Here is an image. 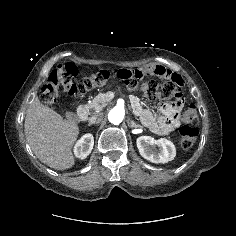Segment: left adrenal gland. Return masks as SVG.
Returning a JSON list of instances; mask_svg holds the SVG:
<instances>
[{
    "label": "left adrenal gland",
    "instance_id": "1",
    "mask_svg": "<svg viewBox=\"0 0 236 236\" xmlns=\"http://www.w3.org/2000/svg\"><path fill=\"white\" fill-rule=\"evenodd\" d=\"M130 127L137 128V127H140V125H137L133 120H131L130 121Z\"/></svg>",
    "mask_w": 236,
    "mask_h": 236
}]
</instances>
